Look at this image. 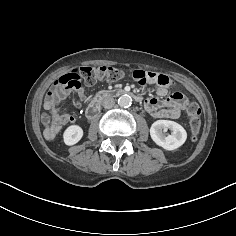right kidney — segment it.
I'll list each match as a JSON object with an SVG mask.
<instances>
[{"instance_id": "ca27d5eb", "label": "right kidney", "mask_w": 236, "mask_h": 236, "mask_svg": "<svg viewBox=\"0 0 236 236\" xmlns=\"http://www.w3.org/2000/svg\"><path fill=\"white\" fill-rule=\"evenodd\" d=\"M83 137V129L79 125L69 126L63 134V139L66 145H74Z\"/></svg>"}]
</instances>
